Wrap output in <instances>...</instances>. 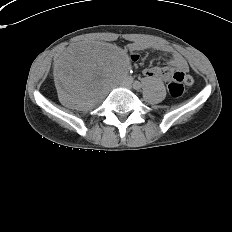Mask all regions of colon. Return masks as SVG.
I'll list each match as a JSON object with an SVG mask.
<instances>
[{
    "label": "colon",
    "instance_id": "1",
    "mask_svg": "<svg viewBox=\"0 0 232 232\" xmlns=\"http://www.w3.org/2000/svg\"><path fill=\"white\" fill-rule=\"evenodd\" d=\"M183 81L190 82L191 79L189 77H185L182 74L175 75L173 77V82L170 83L168 86L169 92L172 96L178 97L183 93V90H184L183 85H182Z\"/></svg>",
    "mask_w": 232,
    "mask_h": 232
}]
</instances>
